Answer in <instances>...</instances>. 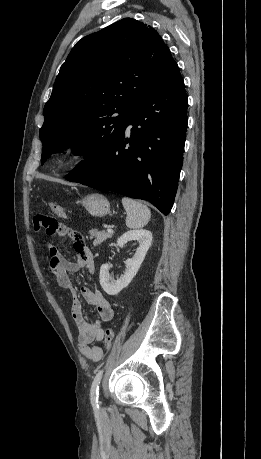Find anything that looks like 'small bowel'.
I'll return each instance as SVG.
<instances>
[{"label": "small bowel", "instance_id": "1", "mask_svg": "<svg viewBox=\"0 0 261 459\" xmlns=\"http://www.w3.org/2000/svg\"><path fill=\"white\" fill-rule=\"evenodd\" d=\"M48 235H55L58 238L69 237L72 240L73 249L77 254V261L73 262L64 258L59 251L51 244H48V258L46 261L47 270L56 278L57 284L72 296L71 315L78 330V349L83 356L93 362L102 359V348L96 345L104 338L103 322L113 319L114 311L104 295L95 289L82 287L80 293L85 301L94 306L99 318L90 320L85 317L83 305L79 298L77 288L71 275L85 269L92 273L94 271V256L92 251L84 243L82 236L64 224L56 223L53 230L46 229Z\"/></svg>", "mask_w": 261, "mask_h": 459}]
</instances>
